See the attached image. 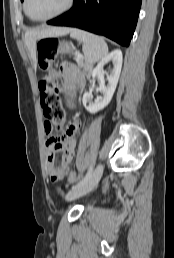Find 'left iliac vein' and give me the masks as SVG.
I'll return each mask as SVG.
<instances>
[{"instance_id": "4c4485c4", "label": "left iliac vein", "mask_w": 174, "mask_h": 258, "mask_svg": "<svg viewBox=\"0 0 174 258\" xmlns=\"http://www.w3.org/2000/svg\"><path fill=\"white\" fill-rule=\"evenodd\" d=\"M103 173V166L102 164H99L93 175L91 176V178L89 179L88 182H86L84 185L77 187L75 189H72L67 195H66V200L67 201H72L75 200L81 196H84L86 194H88L89 192H91L96 185L98 184L101 176Z\"/></svg>"}]
</instances>
